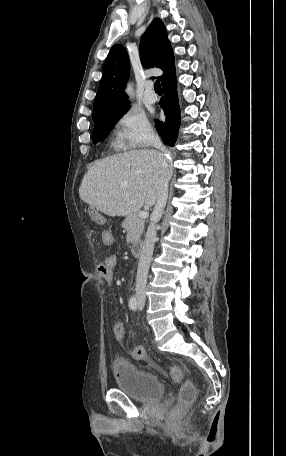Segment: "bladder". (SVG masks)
<instances>
[{
    "label": "bladder",
    "instance_id": "obj_1",
    "mask_svg": "<svg viewBox=\"0 0 286 456\" xmlns=\"http://www.w3.org/2000/svg\"><path fill=\"white\" fill-rule=\"evenodd\" d=\"M114 373L116 386L136 401L150 402L164 395V387L156 376L128 362H116Z\"/></svg>",
    "mask_w": 286,
    "mask_h": 456
}]
</instances>
